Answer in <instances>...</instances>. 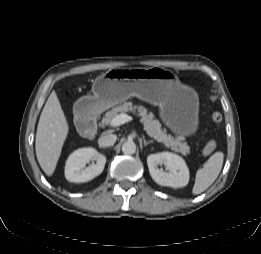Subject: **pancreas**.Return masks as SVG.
<instances>
[{
  "label": "pancreas",
  "instance_id": "pancreas-1",
  "mask_svg": "<svg viewBox=\"0 0 261 254\" xmlns=\"http://www.w3.org/2000/svg\"><path fill=\"white\" fill-rule=\"evenodd\" d=\"M133 112L138 113L141 117L140 121L144 126L146 133L154 140L165 144L176 152L186 155L190 152V147L186 142H181L180 138H173L162 129L158 120L154 119L153 113H148V110L143 106L133 105L132 102H124L108 111L102 119V124L111 125V120L118 114Z\"/></svg>",
  "mask_w": 261,
  "mask_h": 254
}]
</instances>
